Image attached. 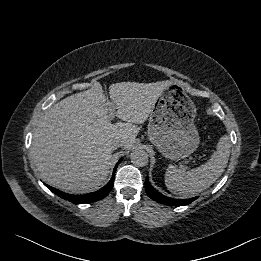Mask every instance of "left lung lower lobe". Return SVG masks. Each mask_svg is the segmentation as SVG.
<instances>
[{
    "label": "left lung lower lobe",
    "mask_w": 261,
    "mask_h": 261,
    "mask_svg": "<svg viewBox=\"0 0 261 261\" xmlns=\"http://www.w3.org/2000/svg\"><path fill=\"white\" fill-rule=\"evenodd\" d=\"M145 190H146V193L148 194V196L151 199H153V200H155L159 203L168 205V206L187 205V204H190L191 202H193L194 200H196L198 198V197H193V198H190V199H173V198L166 197V196L162 195L161 193H159L157 190H155L151 186L148 178H146V180H145Z\"/></svg>",
    "instance_id": "1"
}]
</instances>
